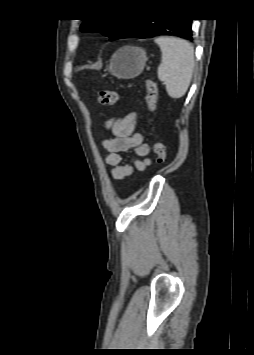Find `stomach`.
I'll return each instance as SVG.
<instances>
[{"label":"stomach","instance_id":"0dacf381","mask_svg":"<svg viewBox=\"0 0 254 355\" xmlns=\"http://www.w3.org/2000/svg\"><path fill=\"white\" fill-rule=\"evenodd\" d=\"M146 61L147 55L144 49L125 46L114 53L108 70L119 79H131L142 73Z\"/></svg>","mask_w":254,"mask_h":355}]
</instances>
